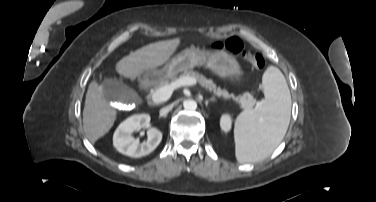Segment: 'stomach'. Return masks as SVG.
Returning <instances> with one entry per match:
<instances>
[{
    "label": "stomach",
    "instance_id": "obj_1",
    "mask_svg": "<svg viewBox=\"0 0 376 202\" xmlns=\"http://www.w3.org/2000/svg\"><path fill=\"white\" fill-rule=\"evenodd\" d=\"M205 66L221 78L238 72L237 60L224 50L205 51L196 47L186 48L174 56L161 70H145L141 73L145 78L152 75L156 78H176L179 73L195 66Z\"/></svg>",
    "mask_w": 376,
    "mask_h": 202
}]
</instances>
